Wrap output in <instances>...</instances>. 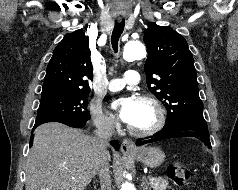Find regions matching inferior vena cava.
<instances>
[{
  "label": "inferior vena cava",
  "instance_id": "1",
  "mask_svg": "<svg viewBox=\"0 0 238 190\" xmlns=\"http://www.w3.org/2000/svg\"><path fill=\"white\" fill-rule=\"evenodd\" d=\"M95 141L97 145L98 175L100 178L101 189L110 190V175L106 159L108 141L115 132L113 121L110 118L101 117L95 121Z\"/></svg>",
  "mask_w": 238,
  "mask_h": 190
}]
</instances>
